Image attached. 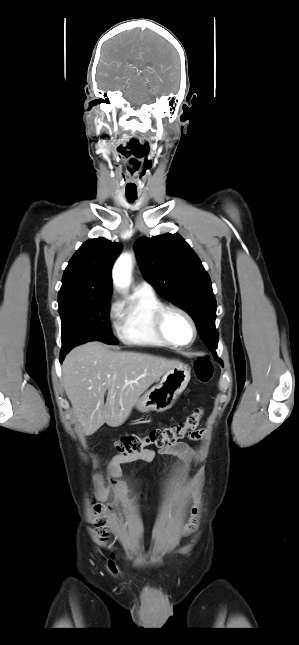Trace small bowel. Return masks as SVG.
Returning a JSON list of instances; mask_svg holds the SVG:
<instances>
[{
	"label": "small bowel",
	"instance_id": "small-bowel-1",
	"mask_svg": "<svg viewBox=\"0 0 299 645\" xmlns=\"http://www.w3.org/2000/svg\"><path fill=\"white\" fill-rule=\"evenodd\" d=\"M207 432L205 429H198L192 431L188 438L193 441H203L206 439ZM157 455L170 456L179 459L184 463H191L194 457L193 450L191 447L184 442H178L155 451L153 449H145L139 454L132 455L127 458L115 457L113 458L107 466V474L101 480V489L98 492V498L104 499L106 497V492L109 488L122 486L123 482L119 479L122 476V464L131 463L136 461H143L150 463L152 462ZM146 497L143 494L138 496L139 501H145ZM121 506L131 508L132 505H127L124 502L120 503ZM200 514V507L198 504L194 505L191 508V519L189 523L184 528L183 533L187 534L192 531L198 523Z\"/></svg>",
	"mask_w": 299,
	"mask_h": 645
}]
</instances>
